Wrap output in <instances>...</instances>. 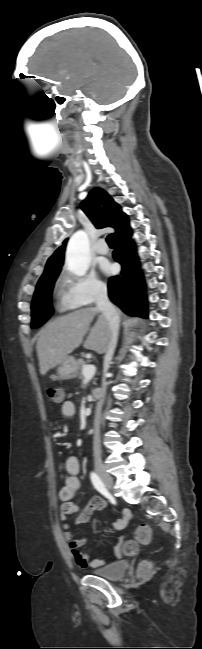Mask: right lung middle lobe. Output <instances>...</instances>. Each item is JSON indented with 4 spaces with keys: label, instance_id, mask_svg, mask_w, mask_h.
<instances>
[{
    "label": "right lung middle lobe",
    "instance_id": "right-lung-middle-lobe-1",
    "mask_svg": "<svg viewBox=\"0 0 202 649\" xmlns=\"http://www.w3.org/2000/svg\"><path fill=\"white\" fill-rule=\"evenodd\" d=\"M59 272L42 276L36 286L32 300V322L31 328H38L43 325L53 314L51 295L54 283Z\"/></svg>",
    "mask_w": 202,
    "mask_h": 649
}]
</instances>
